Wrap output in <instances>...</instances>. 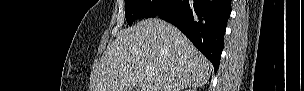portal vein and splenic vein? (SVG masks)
Here are the masks:
<instances>
[{"mask_svg": "<svg viewBox=\"0 0 304 91\" xmlns=\"http://www.w3.org/2000/svg\"><path fill=\"white\" fill-rule=\"evenodd\" d=\"M146 74L147 75H152L153 74V69L151 67L146 68Z\"/></svg>", "mask_w": 304, "mask_h": 91, "instance_id": "1", "label": "portal vein and splenic vein"}]
</instances>
